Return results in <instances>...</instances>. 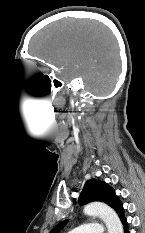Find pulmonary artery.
I'll return each instance as SVG.
<instances>
[{"label":"pulmonary artery","mask_w":145,"mask_h":233,"mask_svg":"<svg viewBox=\"0 0 145 233\" xmlns=\"http://www.w3.org/2000/svg\"><path fill=\"white\" fill-rule=\"evenodd\" d=\"M102 231L101 225L97 223H86L68 231V233H102Z\"/></svg>","instance_id":"obj_1"}]
</instances>
